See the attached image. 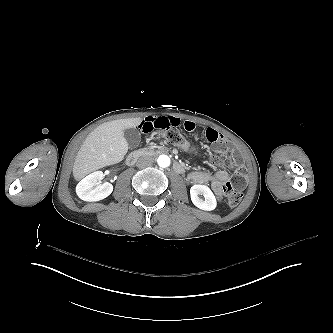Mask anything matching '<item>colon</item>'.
<instances>
[{"label": "colon", "mask_w": 333, "mask_h": 333, "mask_svg": "<svg viewBox=\"0 0 333 333\" xmlns=\"http://www.w3.org/2000/svg\"><path fill=\"white\" fill-rule=\"evenodd\" d=\"M142 133L149 134L145 132ZM162 136L170 145L180 147L187 153H193L196 151L195 146L191 142L184 139L178 129H165ZM234 168L238 173H234L231 176V181H228L223 187L224 196L227 199L228 205L231 207H235L241 202V185L246 180V175L241 172L243 169L242 162L236 161L234 163Z\"/></svg>", "instance_id": "obj_1"}]
</instances>
